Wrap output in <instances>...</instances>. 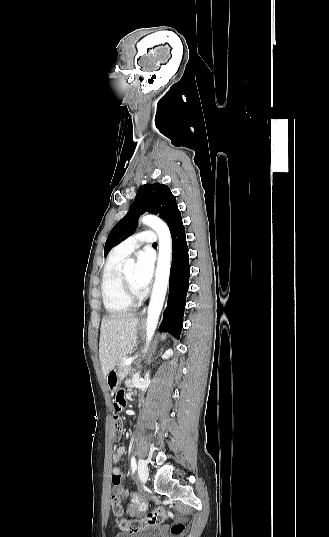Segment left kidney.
<instances>
[{
	"instance_id": "1",
	"label": "left kidney",
	"mask_w": 329,
	"mask_h": 537,
	"mask_svg": "<svg viewBox=\"0 0 329 537\" xmlns=\"http://www.w3.org/2000/svg\"><path fill=\"white\" fill-rule=\"evenodd\" d=\"M173 354L172 350L169 349L167 350L164 355L162 356V358H168L169 356H171Z\"/></svg>"
}]
</instances>
